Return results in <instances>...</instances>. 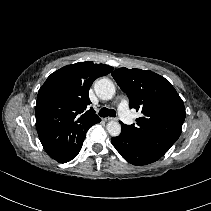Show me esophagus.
<instances>
[{
    "label": "esophagus",
    "mask_w": 211,
    "mask_h": 211,
    "mask_svg": "<svg viewBox=\"0 0 211 211\" xmlns=\"http://www.w3.org/2000/svg\"><path fill=\"white\" fill-rule=\"evenodd\" d=\"M117 118H113V117H107L105 118V121H117Z\"/></svg>",
    "instance_id": "34e87169"
}]
</instances>
